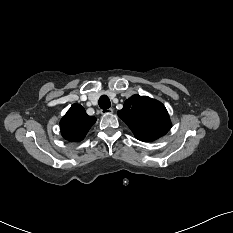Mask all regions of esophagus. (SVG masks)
<instances>
[{"mask_svg": "<svg viewBox=\"0 0 233 233\" xmlns=\"http://www.w3.org/2000/svg\"><path fill=\"white\" fill-rule=\"evenodd\" d=\"M112 112H113L112 108L102 109L101 110V114H103V115L111 114Z\"/></svg>", "mask_w": 233, "mask_h": 233, "instance_id": "1", "label": "esophagus"}]
</instances>
